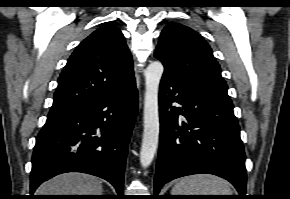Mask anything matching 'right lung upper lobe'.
<instances>
[{
    "instance_id": "obj_1",
    "label": "right lung upper lobe",
    "mask_w": 290,
    "mask_h": 199,
    "mask_svg": "<svg viewBox=\"0 0 290 199\" xmlns=\"http://www.w3.org/2000/svg\"><path fill=\"white\" fill-rule=\"evenodd\" d=\"M134 81L132 56L121 31L104 25L83 40L59 79L50 112L125 91Z\"/></svg>"
}]
</instances>
